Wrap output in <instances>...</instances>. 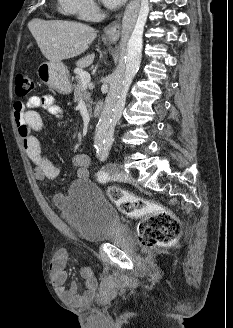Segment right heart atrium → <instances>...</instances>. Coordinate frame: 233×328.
<instances>
[{
    "instance_id": "right-heart-atrium-1",
    "label": "right heart atrium",
    "mask_w": 233,
    "mask_h": 328,
    "mask_svg": "<svg viewBox=\"0 0 233 328\" xmlns=\"http://www.w3.org/2000/svg\"><path fill=\"white\" fill-rule=\"evenodd\" d=\"M70 2L72 12L82 20H90L97 10L95 0H70Z\"/></svg>"
}]
</instances>
